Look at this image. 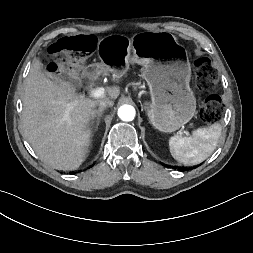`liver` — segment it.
<instances>
[{
  "instance_id": "liver-1",
  "label": "liver",
  "mask_w": 253,
  "mask_h": 253,
  "mask_svg": "<svg viewBox=\"0 0 253 253\" xmlns=\"http://www.w3.org/2000/svg\"><path fill=\"white\" fill-rule=\"evenodd\" d=\"M110 73L117 82L123 75ZM50 77L39 61L33 63L22 99V129L42 162L57 170H76L91 144L89 123L96 106L101 99H116L120 90L110 88L107 96L94 100L77 94L69 82H55Z\"/></svg>"
}]
</instances>
